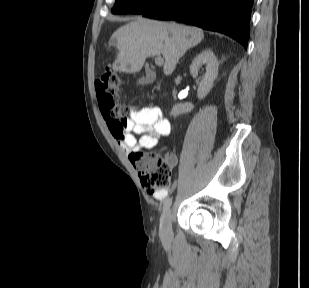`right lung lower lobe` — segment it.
I'll return each instance as SVG.
<instances>
[{"instance_id":"98d812e1","label":"right lung lower lobe","mask_w":309,"mask_h":288,"mask_svg":"<svg viewBox=\"0 0 309 288\" xmlns=\"http://www.w3.org/2000/svg\"><path fill=\"white\" fill-rule=\"evenodd\" d=\"M254 0H165L142 13L148 18L177 20L230 36L247 49Z\"/></svg>"}]
</instances>
